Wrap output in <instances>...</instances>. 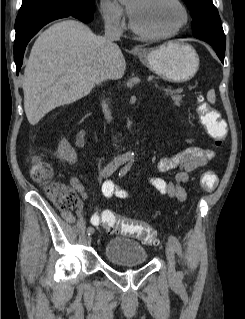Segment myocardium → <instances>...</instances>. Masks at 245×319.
<instances>
[{
	"mask_svg": "<svg viewBox=\"0 0 245 319\" xmlns=\"http://www.w3.org/2000/svg\"><path fill=\"white\" fill-rule=\"evenodd\" d=\"M173 2L180 8V10L182 12V21L175 29L168 31V32H164V33H149V32H146V31L140 29L135 24L131 15L129 18L130 28L132 29V31L135 34H137L138 36H140L144 39H148V40H163V39H168V38L176 36L187 26V24L189 22V13H188L186 6L184 5V3L181 0H173Z\"/></svg>",
	"mask_w": 245,
	"mask_h": 319,
	"instance_id": "obj_1",
	"label": "myocardium"
}]
</instances>
